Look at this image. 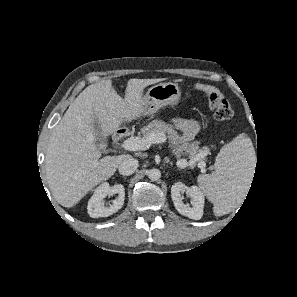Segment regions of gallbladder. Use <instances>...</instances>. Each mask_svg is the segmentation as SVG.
I'll return each mask as SVG.
<instances>
[{"mask_svg": "<svg viewBox=\"0 0 297 297\" xmlns=\"http://www.w3.org/2000/svg\"><path fill=\"white\" fill-rule=\"evenodd\" d=\"M94 135H95V144H96V146L98 147V148H100V150H102V151H105V149H106V139L102 136V134H101V132H102V130H101V127H100V124L97 122V121H95L94 122Z\"/></svg>", "mask_w": 297, "mask_h": 297, "instance_id": "gallbladder-1", "label": "gallbladder"}]
</instances>
